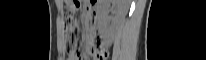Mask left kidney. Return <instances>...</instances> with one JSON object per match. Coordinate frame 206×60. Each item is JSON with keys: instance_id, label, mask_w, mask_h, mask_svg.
I'll return each mask as SVG.
<instances>
[{"instance_id": "1", "label": "left kidney", "mask_w": 206, "mask_h": 60, "mask_svg": "<svg viewBox=\"0 0 206 60\" xmlns=\"http://www.w3.org/2000/svg\"><path fill=\"white\" fill-rule=\"evenodd\" d=\"M112 5H116L113 11ZM128 5L126 0H99L98 3V21L99 33L106 44L111 43L115 28L127 13ZM110 12L113 16H110Z\"/></svg>"}]
</instances>
